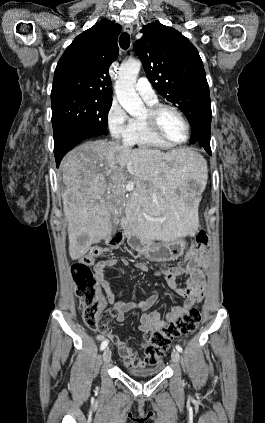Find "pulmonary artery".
<instances>
[{
  "label": "pulmonary artery",
  "mask_w": 265,
  "mask_h": 423,
  "mask_svg": "<svg viewBox=\"0 0 265 423\" xmlns=\"http://www.w3.org/2000/svg\"><path fill=\"white\" fill-rule=\"evenodd\" d=\"M135 90L145 102H156V93L146 78H141L135 85Z\"/></svg>",
  "instance_id": "pulmonary-artery-1"
}]
</instances>
